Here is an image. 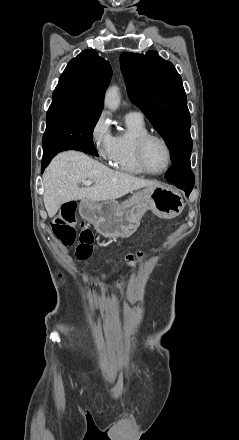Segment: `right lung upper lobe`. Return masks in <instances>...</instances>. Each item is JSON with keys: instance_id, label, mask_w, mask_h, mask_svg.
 <instances>
[{"instance_id": "cb5924a9", "label": "right lung upper lobe", "mask_w": 239, "mask_h": 440, "mask_svg": "<svg viewBox=\"0 0 239 440\" xmlns=\"http://www.w3.org/2000/svg\"><path fill=\"white\" fill-rule=\"evenodd\" d=\"M111 76L112 69L108 61L93 49L84 50L68 63L60 76L50 107L64 106L78 111L101 113L102 97Z\"/></svg>"}]
</instances>
